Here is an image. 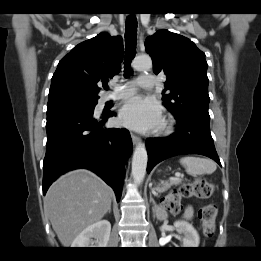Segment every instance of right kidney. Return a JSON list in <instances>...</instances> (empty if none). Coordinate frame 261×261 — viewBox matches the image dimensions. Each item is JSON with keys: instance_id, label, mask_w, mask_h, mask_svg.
Returning <instances> with one entry per match:
<instances>
[{"instance_id": "1", "label": "right kidney", "mask_w": 261, "mask_h": 261, "mask_svg": "<svg viewBox=\"0 0 261 261\" xmlns=\"http://www.w3.org/2000/svg\"><path fill=\"white\" fill-rule=\"evenodd\" d=\"M110 232L111 224L108 220L98 221L85 228L72 242L71 247L105 248L109 241Z\"/></svg>"}]
</instances>
